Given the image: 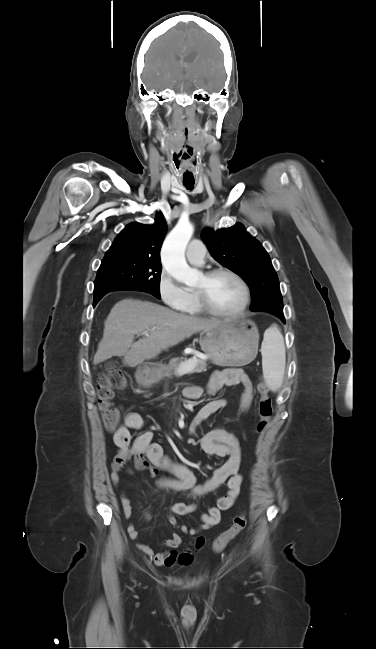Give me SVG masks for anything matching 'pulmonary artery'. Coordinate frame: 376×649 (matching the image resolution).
I'll return each mask as SVG.
<instances>
[{
  "label": "pulmonary artery",
  "instance_id": "pulmonary-artery-1",
  "mask_svg": "<svg viewBox=\"0 0 376 649\" xmlns=\"http://www.w3.org/2000/svg\"><path fill=\"white\" fill-rule=\"evenodd\" d=\"M206 248L202 241L193 240L189 243L186 250V257L188 261L195 265H203L205 259Z\"/></svg>",
  "mask_w": 376,
  "mask_h": 649
}]
</instances>
